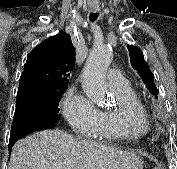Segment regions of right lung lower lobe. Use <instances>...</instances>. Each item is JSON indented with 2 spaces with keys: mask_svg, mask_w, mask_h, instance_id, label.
Segmentation results:
<instances>
[{
  "mask_svg": "<svg viewBox=\"0 0 177 169\" xmlns=\"http://www.w3.org/2000/svg\"><path fill=\"white\" fill-rule=\"evenodd\" d=\"M55 123L50 120L37 117H24L20 119H13L12 130L9 140V150L20 138L25 135L44 128H54Z\"/></svg>",
  "mask_w": 177,
  "mask_h": 169,
  "instance_id": "obj_1",
  "label": "right lung lower lobe"
}]
</instances>
